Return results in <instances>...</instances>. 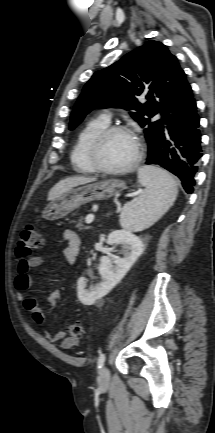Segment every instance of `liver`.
<instances>
[{
  "label": "liver",
  "instance_id": "6515ba94",
  "mask_svg": "<svg viewBox=\"0 0 215 433\" xmlns=\"http://www.w3.org/2000/svg\"><path fill=\"white\" fill-rule=\"evenodd\" d=\"M96 181L94 177L74 176L59 181L49 192L48 200H55L73 187Z\"/></svg>",
  "mask_w": 215,
  "mask_h": 433
}]
</instances>
